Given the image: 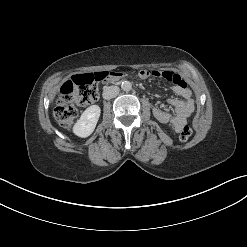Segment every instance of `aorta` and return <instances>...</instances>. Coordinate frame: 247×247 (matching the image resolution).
I'll return each instance as SVG.
<instances>
[{
	"mask_svg": "<svg viewBox=\"0 0 247 247\" xmlns=\"http://www.w3.org/2000/svg\"><path fill=\"white\" fill-rule=\"evenodd\" d=\"M121 88H122V90H124L126 92L130 91L132 89V83L129 81H123L121 84Z\"/></svg>",
	"mask_w": 247,
	"mask_h": 247,
	"instance_id": "obj_1",
	"label": "aorta"
}]
</instances>
